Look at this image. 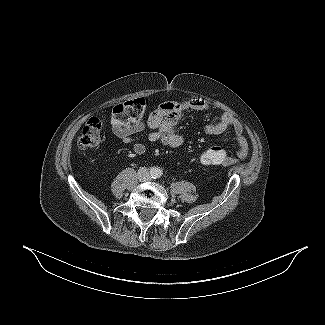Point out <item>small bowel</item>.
Segmentation results:
<instances>
[{
  "label": "small bowel",
  "instance_id": "1",
  "mask_svg": "<svg viewBox=\"0 0 325 325\" xmlns=\"http://www.w3.org/2000/svg\"><path fill=\"white\" fill-rule=\"evenodd\" d=\"M209 109L210 105L199 99L164 102L145 121L125 127L112 124L111 129L124 144L132 145L134 154L142 155L146 151V145L139 140L137 135L145 128L150 129L147 136L149 142L160 143L173 148L180 147L184 144L185 139L177 133L176 126L182 115L190 110L208 111ZM205 129L212 136H219L228 129H233L237 142L236 155L240 159L247 157L249 149L246 139L242 136V126L232 115L224 113L216 116L206 125Z\"/></svg>",
  "mask_w": 325,
  "mask_h": 325
}]
</instances>
